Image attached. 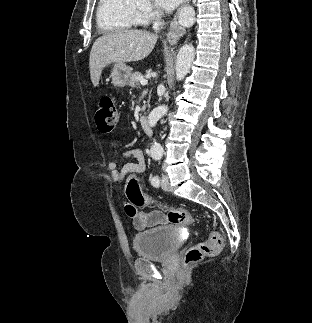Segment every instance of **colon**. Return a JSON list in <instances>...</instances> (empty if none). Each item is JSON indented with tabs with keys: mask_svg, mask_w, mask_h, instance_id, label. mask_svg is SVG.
I'll list each match as a JSON object with an SVG mask.
<instances>
[{
	"mask_svg": "<svg viewBox=\"0 0 312 323\" xmlns=\"http://www.w3.org/2000/svg\"><path fill=\"white\" fill-rule=\"evenodd\" d=\"M119 111L116 108L114 100L110 95H106L100 98L98 102L97 113L95 116V123L97 128L101 132L113 131L118 123ZM126 195L129 202L124 203V209L126 214L130 218H135L136 210L135 206H141L146 203L152 202L153 205H157L161 208H165L168 212V220L172 224H191L195 222L193 214L183 207H177L167 205L159 200L146 197L139 185V179L136 177H126ZM224 247V240L221 236L211 234L207 241L199 243L189 248L184 255V267L188 264L198 263L203 256H211Z\"/></svg>",
	"mask_w": 312,
	"mask_h": 323,
	"instance_id": "colon-1",
	"label": "colon"
}]
</instances>
